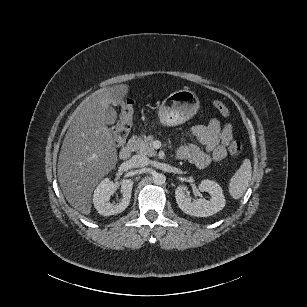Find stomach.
<instances>
[{"instance_id": "obj_1", "label": "stomach", "mask_w": 307, "mask_h": 307, "mask_svg": "<svg viewBox=\"0 0 307 307\" xmlns=\"http://www.w3.org/2000/svg\"><path fill=\"white\" fill-rule=\"evenodd\" d=\"M198 99L188 90H179L170 94L161 104L158 116L167 126H176L189 120L198 109Z\"/></svg>"}]
</instances>
